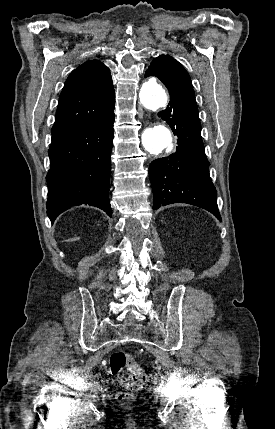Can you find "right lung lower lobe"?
I'll return each mask as SVG.
<instances>
[{
    "instance_id": "right-lung-lower-lobe-1",
    "label": "right lung lower lobe",
    "mask_w": 275,
    "mask_h": 429,
    "mask_svg": "<svg viewBox=\"0 0 275 429\" xmlns=\"http://www.w3.org/2000/svg\"><path fill=\"white\" fill-rule=\"evenodd\" d=\"M115 98V93H114ZM114 114L109 118L52 134L47 214L53 222L69 207L89 204L111 217L110 154Z\"/></svg>"
}]
</instances>
